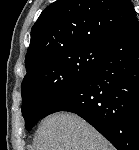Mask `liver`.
Returning <instances> with one entry per match:
<instances>
[{
    "label": "liver",
    "mask_w": 139,
    "mask_h": 150,
    "mask_svg": "<svg viewBox=\"0 0 139 150\" xmlns=\"http://www.w3.org/2000/svg\"><path fill=\"white\" fill-rule=\"evenodd\" d=\"M35 150H113L110 143L75 114L55 113L45 118L36 134Z\"/></svg>",
    "instance_id": "liver-1"
}]
</instances>
